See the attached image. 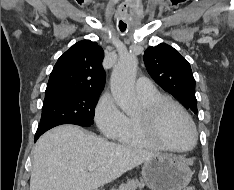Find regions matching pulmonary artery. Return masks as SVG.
Returning a JSON list of instances; mask_svg holds the SVG:
<instances>
[{"label": "pulmonary artery", "instance_id": "1", "mask_svg": "<svg viewBox=\"0 0 234 190\" xmlns=\"http://www.w3.org/2000/svg\"><path fill=\"white\" fill-rule=\"evenodd\" d=\"M136 91L139 96H147L156 92L153 83L146 77H140L136 83Z\"/></svg>", "mask_w": 234, "mask_h": 190}]
</instances>
